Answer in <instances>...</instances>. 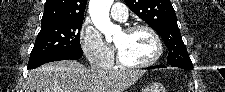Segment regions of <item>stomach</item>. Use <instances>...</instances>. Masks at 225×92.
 Returning <instances> with one entry per match:
<instances>
[{
	"instance_id": "stomach-1",
	"label": "stomach",
	"mask_w": 225,
	"mask_h": 92,
	"mask_svg": "<svg viewBox=\"0 0 225 92\" xmlns=\"http://www.w3.org/2000/svg\"><path fill=\"white\" fill-rule=\"evenodd\" d=\"M142 92H166L164 87L160 84H152L142 90Z\"/></svg>"
}]
</instances>
